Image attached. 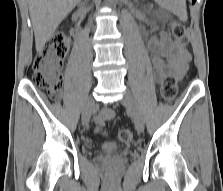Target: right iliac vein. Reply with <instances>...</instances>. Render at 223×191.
I'll list each match as a JSON object with an SVG mask.
<instances>
[{"instance_id": "obj_1", "label": "right iliac vein", "mask_w": 223, "mask_h": 191, "mask_svg": "<svg viewBox=\"0 0 223 191\" xmlns=\"http://www.w3.org/2000/svg\"><path fill=\"white\" fill-rule=\"evenodd\" d=\"M94 106H95L94 98L90 96L85 102L82 113V124L85 127H87L89 124L90 116L92 114Z\"/></svg>"}]
</instances>
